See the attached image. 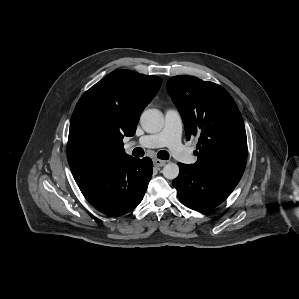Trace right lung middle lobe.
Instances as JSON below:
<instances>
[{
	"label": "right lung middle lobe",
	"instance_id": "dd1d6c3e",
	"mask_svg": "<svg viewBox=\"0 0 299 299\" xmlns=\"http://www.w3.org/2000/svg\"><path fill=\"white\" fill-rule=\"evenodd\" d=\"M106 133L99 116L85 113L70 122L67 158L70 167L91 162L103 149Z\"/></svg>",
	"mask_w": 299,
	"mask_h": 299
}]
</instances>
